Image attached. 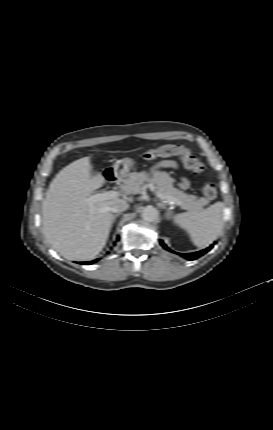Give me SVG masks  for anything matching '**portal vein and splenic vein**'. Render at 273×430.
Segmentation results:
<instances>
[{"label": "portal vein and splenic vein", "mask_w": 273, "mask_h": 430, "mask_svg": "<svg viewBox=\"0 0 273 430\" xmlns=\"http://www.w3.org/2000/svg\"><path fill=\"white\" fill-rule=\"evenodd\" d=\"M148 188L150 189V191H152L159 199H161L162 201H164L165 203H167V204H170V205H180L181 204V202L178 200V199H176V198H174V197H172V196H169V195H165V194H162V193H160L159 191H157L156 190V187L153 185V184H148ZM119 195H120V193L119 192H117V191H113V190H111V191H106V192H104V193H99V194H94V195H90L88 198H87V202L89 203V204H92V203H95V202H98V201H104V200H110V199H114V198H117V197H119Z\"/></svg>", "instance_id": "portal-vein-and-splenic-vein-1"}]
</instances>
